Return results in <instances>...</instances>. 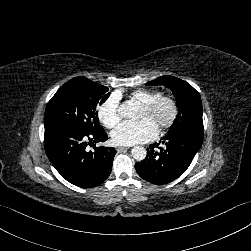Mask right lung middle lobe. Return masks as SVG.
<instances>
[{"instance_id": "obj_1", "label": "right lung middle lobe", "mask_w": 251, "mask_h": 251, "mask_svg": "<svg viewBox=\"0 0 251 251\" xmlns=\"http://www.w3.org/2000/svg\"><path fill=\"white\" fill-rule=\"evenodd\" d=\"M109 89L85 77H76L61 86L48 102L44 125L64 123L90 132L99 125L96 106L109 97Z\"/></svg>"}]
</instances>
